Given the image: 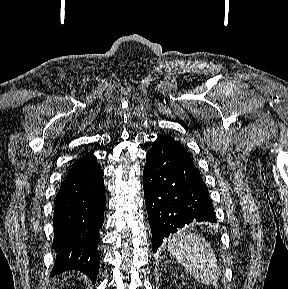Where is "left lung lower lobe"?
Segmentation results:
<instances>
[{
    "label": "left lung lower lobe",
    "mask_w": 288,
    "mask_h": 289,
    "mask_svg": "<svg viewBox=\"0 0 288 289\" xmlns=\"http://www.w3.org/2000/svg\"><path fill=\"white\" fill-rule=\"evenodd\" d=\"M143 187L154 253L165 237L194 220L217 222L193 161L167 140L156 139L147 152Z\"/></svg>",
    "instance_id": "obj_1"
}]
</instances>
